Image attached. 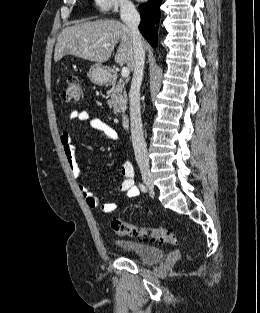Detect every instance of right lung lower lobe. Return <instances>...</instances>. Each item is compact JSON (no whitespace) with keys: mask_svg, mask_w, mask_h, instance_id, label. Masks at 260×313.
<instances>
[{"mask_svg":"<svg viewBox=\"0 0 260 313\" xmlns=\"http://www.w3.org/2000/svg\"><path fill=\"white\" fill-rule=\"evenodd\" d=\"M162 0H149L145 4L139 6L141 14V23L139 30L146 40L153 46L156 47L157 32L160 20V5Z\"/></svg>","mask_w":260,"mask_h":313,"instance_id":"1","label":"right lung lower lobe"}]
</instances>
